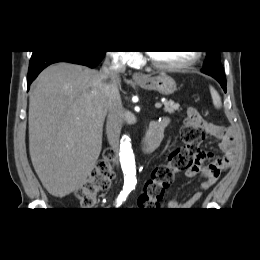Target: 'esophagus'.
Instances as JSON below:
<instances>
[{"label":"esophagus","mask_w":260,"mask_h":260,"mask_svg":"<svg viewBox=\"0 0 260 260\" xmlns=\"http://www.w3.org/2000/svg\"><path fill=\"white\" fill-rule=\"evenodd\" d=\"M144 78V76L141 74V73H139V72H135L134 74H133V79L134 80H141V79H143Z\"/></svg>","instance_id":"esophagus-1"}]
</instances>
